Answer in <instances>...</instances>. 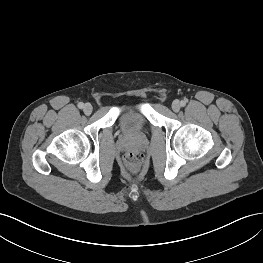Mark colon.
<instances>
[{"label": "colon", "instance_id": "1", "mask_svg": "<svg viewBox=\"0 0 263 263\" xmlns=\"http://www.w3.org/2000/svg\"><path fill=\"white\" fill-rule=\"evenodd\" d=\"M124 162L129 168L139 170L144 163V155L138 151H130L125 154Z\"/></svg>", "mask_w": 263, "mask_h": 263}]
</instances>
